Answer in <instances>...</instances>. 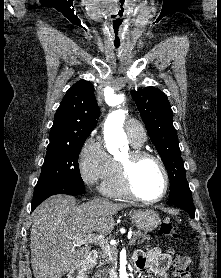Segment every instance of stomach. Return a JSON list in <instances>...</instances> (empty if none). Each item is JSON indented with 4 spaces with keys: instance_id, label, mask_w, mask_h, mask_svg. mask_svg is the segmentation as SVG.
<instances>
[{
    "instance_id": "0dacf381",
    "label": "stomach",
    "mask_w": 221,
    "mask_h": 278,
    "mask_svg": "<svg viewBox=\"0 0 221 278\" xmlns=\"http://www.w3.org/2000/svg\"><path fill=\"white\" fill-rule=\"evenodd\" d=\"M129 215L135 226L145 232L155 230L161 223L159 214L151 209L132 210Z\"/></svg>"
}]
</instances>
